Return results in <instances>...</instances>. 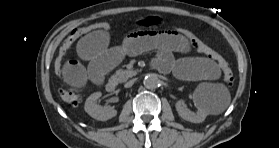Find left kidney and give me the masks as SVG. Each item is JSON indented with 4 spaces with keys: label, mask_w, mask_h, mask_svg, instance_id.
<instances>
[{
    "label": "left kidney",
    "mask_w": 279,
    "mask_h": 148,
    "mask_svg": "<svg viewBox=\"0 0 279 148\" xmlns=\"http://www.w3.org/2000/svg\"><path fill=\"white\" fill-rule=\"evenodd\" d=\"M193 102L198 111H190L184 104L183 100H179L175 104V108L181 118L192 123H201L205 120L207 115L210 113L204 102L202 101L198 91L193 93Z\"/></svg>",
    "instance_id": "1"
}]
</instances>
